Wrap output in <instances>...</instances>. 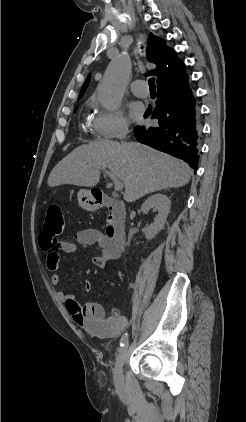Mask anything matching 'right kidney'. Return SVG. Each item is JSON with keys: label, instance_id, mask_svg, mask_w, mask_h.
<instances>
[{"label": "right kidney", "instance_id": "1", "mask_svg": "<svg viewBox=\"0 0 246 422\" xmlns=\"http://www.w3.org/2000/svg\"><path fill=\"white\" fill-rule=\"evenodd\" d=\"M171 201L170 199L161 193L150 196L141 206L143 213H148L149 210L153 209L158 212L154 218V222L145 229V237L147 240L153 239L160 230L164 227L170 212Z\"/></svg>", "mask_w": 246, "mask_h": 422}]
</instances>
